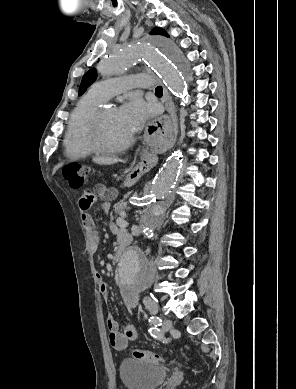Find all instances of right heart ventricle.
<instances>
[{
	"mask_svg": "<svg viewBox=\"0 0 296 389\" xmlns=\"http://www.w3.org/2000/svg\"><path fill=\"white\" fill-rule=\"evenodd\" d=\"M104 98L89 91L73 112L64 138V148L68 157L85 159L92 156L90 132L94 117Z\"/></svg>",
	"mask_w": 296,
	"mask_h": 389,
	"instance_id": "e07e8e85",
	"label": "right heart ventricle"
}]
</instances>
